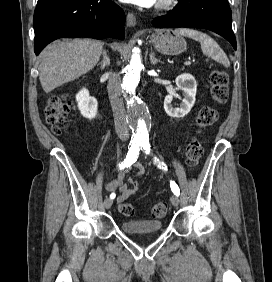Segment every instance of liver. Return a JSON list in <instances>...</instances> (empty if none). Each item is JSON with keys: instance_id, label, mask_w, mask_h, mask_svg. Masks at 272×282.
Wrapping results in <instances>:
<instances>
[{"instance_id": "6515ba94", "label": "liver", "mask_w": 272, "mask_h": 282, "mask_svg": "<svg viewBox=\"0 0 272 282\" xmlns=\"http://www.w3.org/2000/svg\"><path fill=\"white\" fill-rule=\"evenodd\" d=\"M103 43L94 39L57 41L40 54L39 79L46 93L79 78L94 68Z\"/></svg>"}]
</instances>
